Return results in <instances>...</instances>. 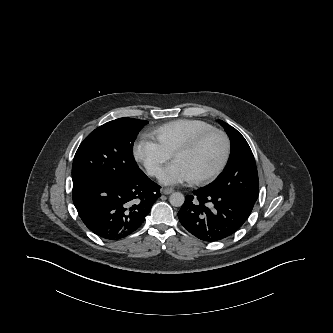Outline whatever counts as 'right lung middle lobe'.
<instances>
[{"instance_id": "dd1d6c3e", "label": "right lung middle lobe", "mask_w": 333, "mask_h": 333, "mask_svg": "<svg viewBox=\"0 0 333 333\" xmlns=\"http://www.w3.org/2000/svg\"><path fill=\"white\" fill-rule=\"evenodd\" d=\"M145 124V120L119 118L91 132L76 151L73 185L95 179L131 180L140 171L133 157V143Z\"/></svg>"}]
</instances>
